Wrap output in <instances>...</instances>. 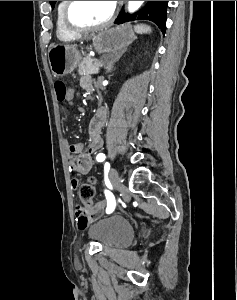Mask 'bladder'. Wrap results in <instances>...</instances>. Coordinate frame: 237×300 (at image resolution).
Returning <instances> with one entry per match:
<instances>
[{"instance_id": "obj_1", "label": "bladder", "mask_w": 237, "mask_h": 300, "mask_svg": "<svg viewBox=\"0 0 237 300\" xmlns=\"http://www.w3.org/2000/svg\"><path fill=\"white\" fill-rule=\"evenodd\" d=\"M88 237L104 248H119L129 244L133 238L131 224L120 216L97 219L88 226Z\"/></svg>"}]
</instances>
